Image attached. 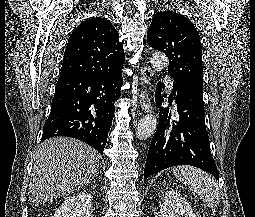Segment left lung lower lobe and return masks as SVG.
Returning <instances> with one entry per match:
<instances>
[{
  "label": "left lung lower lobe",
  "mask_w": 255,
  "mask_h": 217,
  "mask_svg": "<svg viewBox=\"0 0 255 217\" xmlns=\"http://www.w3.org/2000/svg\"><path fill=\"white\" fill-rule=\"evenodd\" d=\"M161 88L165 86L159 82L155 100L161 112L160 123L150 144L144 177L172 166L191 165L219 179L205 127L203 92L174 80L169 101L171 103L175 99L177 102L178 116L170 122L169 109L160 106L164 101Z\"/></svg>",
  "instance_id": "0a47b994"
}]
</instances>
